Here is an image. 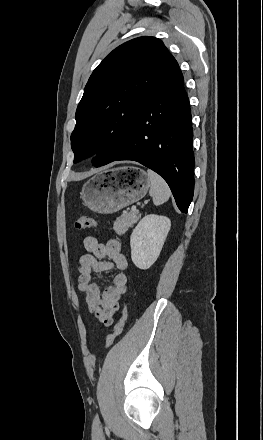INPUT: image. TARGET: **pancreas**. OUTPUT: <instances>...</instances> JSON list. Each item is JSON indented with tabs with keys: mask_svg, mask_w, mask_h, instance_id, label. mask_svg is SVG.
<instances>
[{
	"mask_svg": "<svg viewBox=\"0 0 263 440\" xmlns=\"http://www.w3.org/2000/svg\"><path fill=\"white\" fill-rule=\"evenodd\" d=\"M140 216L137 211L125 212L115 220L113 229L118 235L125 234L139 220Z\"/></svg>",
	"mask_w": 263,
	"mask_h": 440,
	"instance_id": "1",
	"label": "pancreas"
}]
</instances>
